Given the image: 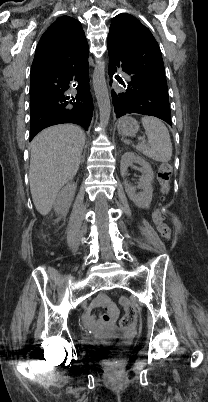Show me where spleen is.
<instances>
[{
  "label": "spleen",
  "mask_w": 208,
  "mask_h": 402,
  "mask_svg": "<svg viewBox=\"0 0 208 402\" xmlns=\"http://www.w3.org/2000/svg\"><path fill=\"white\" fill-rule=\"evenodd\" d=\"M141 122L149 144L140 142L138 146H135L136 150L142 152L147 158H152L155 162L167 164L171 160L172 144L165 124L153 116H144Z\"/></svg>",
  "instance_id": "spleen-1"
}]
</instances>
